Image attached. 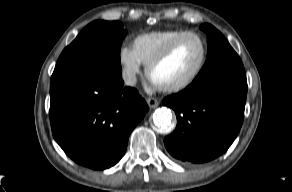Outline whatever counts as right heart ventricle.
<instances>
[{"instance_id": "e07e8e85", "label": "right heart ventricle", "mask_w": 292, "mask_h": 192, "mask_svg": "<svg viewBox=\"0 0 292 192\" xmlns=\"http://www.w3.org/2000/svg\"><path fill=\"white\" fill-rule=\"evenodd\" d=\"M186 32L182 29H165L137 35L133 40V48L142 62L147 63L161 52L175 37Z\"/></svg>"}]
</instances>
